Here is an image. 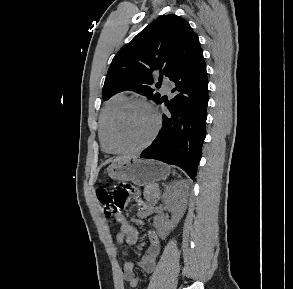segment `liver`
Listing matches in <instances>:
<instances>
[{"instance_id":"1","label":"liver","mask_w":293,"mask_h":289,"mask_svg":"<svg viewBox=\"0 0 293 289\" xmlns=\"http://www.w3.org/2000/svg\"><path fill=\"white\" fill-rule=\"evenodd\" d=\"M129 158H131V156H120V157H117V158H115L113 160H109V161L116 162V161L125 160V159H129Z\"/></svg>"}]
</instances>
